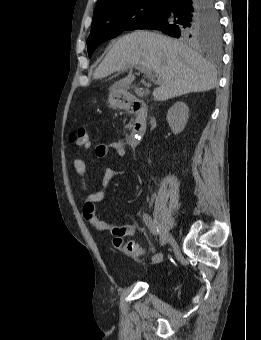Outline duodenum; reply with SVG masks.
<instances>
[{
	"label": "duodenum",
	"instance_id": "obj_1",
	"mask_svg": "<svg viewBox=\"0 0 261 340\" xmlns=\"http://www.w3.org/2000/svg\"><path fill=\"white\" fill-rule=\"evenodd\" d=\"M130 113L134 114V119L131 123L128 143L132 147H136L141 138L144 136L147 124L146 106L140 99H132L127 106Z\"/></svg>",
	"mask_w": 261,
	"mask_h": 340
}]
</instances>
